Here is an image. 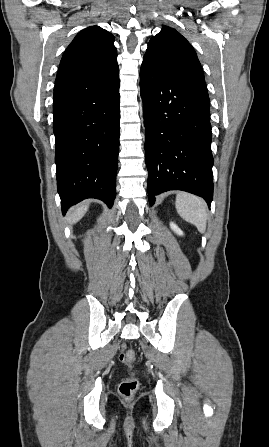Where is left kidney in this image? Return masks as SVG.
<instances>
[{
  "label": "left kidney",
  "mask_w": 269,
  "mask_h": 447,
  "mask_svg": "<svg viewBox=\"0 0 269 447\" xmlns=\"http://www.w3.org/2000/svg\"><path fill=\"white\" fill-rule=\"evenodd\" d=\"M170 227L171 229H173V231H175V233H177V235H183L182 229H180L178 225L174 224V222H171Z\"/></svg>",
  "instance_id": "obj_1"
}]
</instances>
